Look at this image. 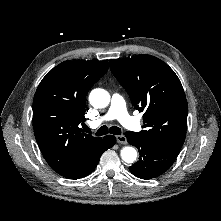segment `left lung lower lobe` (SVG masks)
<instances>
[{
	"label": "left lung lower lobe",
	"instance_id": "1",
	"mask_svg": "<svg viewBox=\"0 0 221 221\" xmlns=\"http://www.w3.org/2000/svg\"><path fill=\"white\" fill-rule=\"evenodd\" d=\"M127 141L139 151V160L129 167L141 179H151L163 174L174 163L179 150L140 137L136 132L125 133Z\"/></svg>",
	"mask_w": 221,
	"mask_h": 221
}]
</instances>
